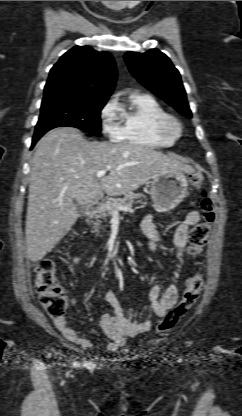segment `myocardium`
<instances>
[{
    "label": "myocardium",
    "instance_id": "f54148a6",
    "mask_svg": "<svg viewBox=\"0 0 242 416\" xmlns=\"http://www.w3.org/2000/svg\"><path fill=\"white\" fill-rule=\"evenodd\" d=\"M158 130L171 138L178 139L182 134V124L179 119L173 115H165L158 124Z\"/></svg>",
    "mask_w": 242,
    "mask_h": 416
}]
</instances>
